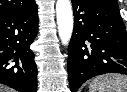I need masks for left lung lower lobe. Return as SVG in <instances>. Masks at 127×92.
<instances>
[{"label": "left lung lower lobe", "instance_id": "0a47b994", "mask_svg": "<svg viewBox=\"0 0 127 92\" xmlns=\"http://www.w3.org/2000/svg\"><path fill=\"white\" fill-rule=\"evenodd\" d=\"M74 29L68 49L71 92L91 77L127 75V31L119 9L72 0Z\"/></svg>", "mask_w": 127, "mask_h": 92}]
</instances>
